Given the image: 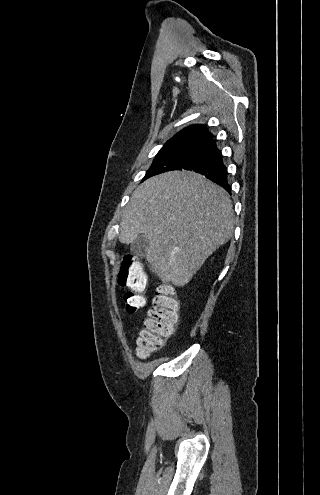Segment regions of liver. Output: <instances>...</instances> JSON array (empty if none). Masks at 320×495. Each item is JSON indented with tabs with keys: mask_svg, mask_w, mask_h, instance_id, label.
<instances>
[{
	"mask_svg": "<svg viewBox=\"0 0 320 495\" xmlns=\"http://www.w3.org/2000/svg\"><path fill=\"white\" fill-rule=\"evenodd\" d=\"M234 232L228 193L192 171L174 170L137 187L120 223L121 243L149 240L152 272L182 287Z\"/></svg>",
	"mask_w": 320,
	"mask_h": 495,
	"instance_id": "liver-1",
	"label": "liver"
}]
</instances>
